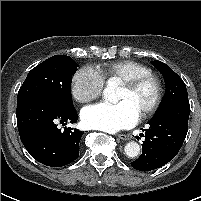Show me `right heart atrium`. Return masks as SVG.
Listing matches in <instances>:
<instances>
[{"mask_svg":"<svg viewBox=\"0 0 201 201\" xmlns=\"http://www.w3.org/2000/svg\"><path fill=\"white\" fill-rule=\"evenodd\" d=\"M104 87V78L101 73L91 67L84 66L72 78V96L79 103H88L98 98Z\"/></svg>","mask_w":201,"mask_h":201,"instance_id":"obj_1","label":"right heart atrium"}]
</instances>
